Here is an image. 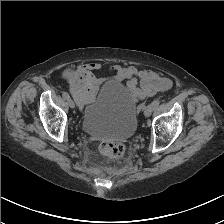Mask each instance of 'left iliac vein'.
I'll use <instances>...</instances> for the list:
<instances>
[{"instance_id":"4c4485c4","label":"left iliac vein","mask_w":224,"mask_h":224,"mask_svg":"<svg viewBox=\"0 0 224 224\" xmlns=\"http://www.w3.org/2000/svg\"><path fill=\"white\" fill-rule=\"evenodd\" d=\"M153 110H154V108H153L152 104L148 105L144 111L145 117H149L152 114Z\"/></svg>"}]
</instances>
